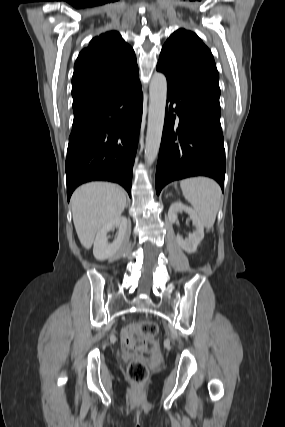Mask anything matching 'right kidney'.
Returning a JSON list of instances; mask_svg holds the SVG:
<instances>
[{"instance_id":"obj_1","label":"right kidney","mask_w":285,"mask_h":427,"mask_svg":"<svg viewBox=\"0 0 285 427\" xmlns=\"http://www.w3.org/2000/svg\"><path fill=\"white\" fill-rule=\"evenodd\" d=\"M127 224V218L120 216L103 226L97 232L93 248V255L97 260L103 261L114 257L125 238ZM114 228L118 229L117 237L113 243H108L107 233Z\"/></svg>"}]
</instances>
